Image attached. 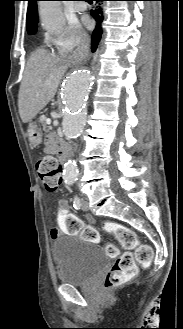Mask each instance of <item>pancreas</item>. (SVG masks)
Returning <instances> with one entry per match:
<instances>
[{"mask_svg": "<svg viewBox=\"0 0 183 329\" xmlns=\"http://www.w3.org/2000/svg\"><path fill=\"white\" fill-rule=\"evenodd\" d=\"M40 123H41L42 126H43V130H44L45 132H48L49 129H48V126H47V123H46V117H43V118L40 120Z\"/></svg>", "mask_w": 183, "mask_h": 329, "instance_id": "obj_1", "label": "pancreas"}]
</instances>
